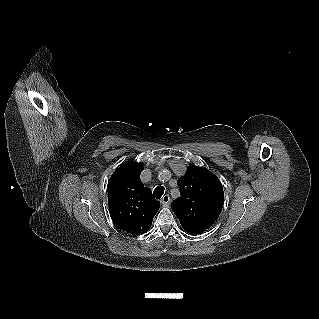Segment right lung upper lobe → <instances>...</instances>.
<instances>
[{"label":"right lung upper lobe","instance_id":"obj_1","mask_svg":"<svg viewBox=\"0 0 319 319\" xmlns=\"http://www.w3.org/2000/svg\"><path fill=\"white\" fill-rule=\"evenodd\" d=\"M143 163L128 161L120 165L109 179L108 205L116 226L132 235L149 230L160 202L140 180Z\"/></svg>","mask_w":319,"mask_h":319}]
</instances>
